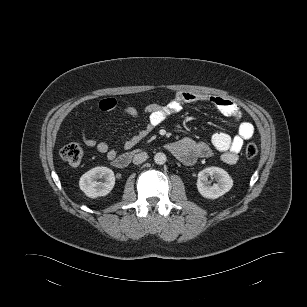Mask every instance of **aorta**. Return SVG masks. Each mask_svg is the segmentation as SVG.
I'll list each match as a JSON object with an SVG mask.
<instances>
[{
	"label": "aorta",
	"mask_w": 307,
	"mask_h": 307,
	"mask_svg": "<svg viewBox=\"0 0 307 307\" xmlns=\"http://www.w3.org/2000/svg\"><path fill=\"white\" fill-rule=\"evenodd\" d=\"M166 160V155L163 152H158L154 155V161L158 165H163L164 163H166Z\"/></svg>",
	"instance_id": "762f6f07"
}]
</instances>
